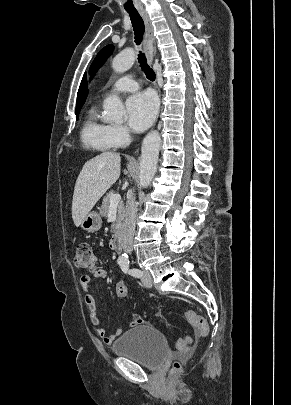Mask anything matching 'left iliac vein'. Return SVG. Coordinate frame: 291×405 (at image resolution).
<instances>
[{
    "instance_id": "left-iliac-vein-1",
    "label": "left iliac vein",
    "mask_w": 291,
    "mask_h": 405,
    "mask_svg": "<svg viewBox=\"0 0 291 405\" xmlns=\"http://www.w3.org/2000/svg\"><path fill=\"white\" fill-rule=\"evenodd\" d=\"M141 281L144 286L151 288L153 285L152 277L149 271L142 270Z\"/></svg>"
}]
</instances>
